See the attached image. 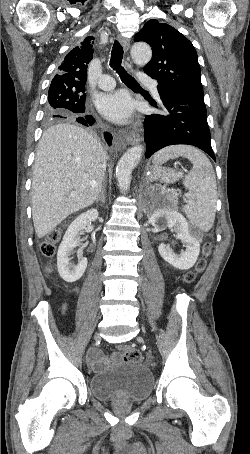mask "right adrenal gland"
Segmentation results:
<instances>
[{
  "label": "right adrenal gland",
  "instance_id": "2a0ac1e0",
  "mask_svg": "<svg viewBox=\"0 0 250 454\" xmlns=\"http://www.w3.org/2000/svg\"><path fill=\"white\" fill-rule=\"evenodd\" d=\"M105 191L106 190H105V180H104L102 183V186H101L100 194H99L98 198L96 199V202L101 201L102 203H105V201H106Z\"/></svg>",
  "mask_w": 250,
  "mask_h": 454
}]
</instances>
